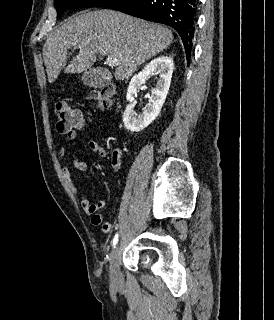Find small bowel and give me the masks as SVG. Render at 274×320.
Masks as SVG:
<instances>
[{
    "label": "small bowel",
    "mask_w": 274,
    "mask_h": 320,
    "mask_svg": "<svg viewBox=\"0 0 274 320\" xmlns=\"http://www.w3.org/2000/svg\"><path fill=\"white\" fill-rule=\"evenodd\" d=\"M77 129L78 131H87L89 121L88 119H78L77 121ZM77 137V131L72 130L65 134L62 145L60 146L57 157L58 161L61 165V170L66 182L69 185L71 192L79 199L80 205L84 213L90 217L91 223L95 226L103 224L104 217L99 212L105 207V202L103 200H99L96 202H91L85 192V190L78 185V182L72 173V171L65 165V157L68 152V146L71 142H73ZM88 148L99 155L100 157L108 156L107 150L101 146L95 140H89ZM110 163L114 173L118 174L123 166V151L120 148L114 149L110 154ZM72 165L78 171H86L88 169V163L86 161L80 160L78 157L74 156L72 158ZM108 224L111 228V224L106 222L103 224Z\"/></svg>",
    "instance_id": "c3829d8e"
}]
</instances>
